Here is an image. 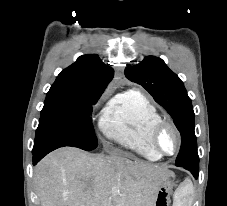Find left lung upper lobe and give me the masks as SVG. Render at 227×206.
Listing matches in <instances>:
<instances>
[{
  "label": "left lung upper lobe",
  "mask_w": 227,
  "mask_h": 206,
  "mask_svg": "<svg viewBox=\"0 0 227 206\" xmlns=\"http://www.w3.org/2000/svg\"><path fill=\"white\" fill-rule=\"evenodd\" d=\"M126 77L142 85L166 109L181 134V148L176 166H198L197 142L194 132V111L183 82L158 57L144 60L125 69Z\"/></svg>",
  "instance_id": "5c2ea615"
}]
</instances>
